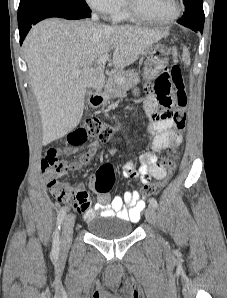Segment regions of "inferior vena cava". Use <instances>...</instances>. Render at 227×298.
Listing matches in <instances>:
<instances>
[{
    "mask_svg": "<svg viewBox=\"0 0 227 298\" xmlns=\"http://www.w3.org/2000/svg\"><path fill=\"white\" fill-rule=\"evenodd\" d=\"M92 20H93L94 22H97V21L99 20L98 15L95 14V13H93V14H92Z\"/></svg>",
    "mask_w": 227,
    "mask_h": 298,
    "instance_id": "1",
    "label": "inferior vena cava"
}]
</instances>
